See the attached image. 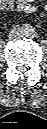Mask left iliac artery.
<instances>
[{
	"label": "left iliac artery",
	"instance_id": "44dca946",
	"mask_svg": "<svg viewBox=\"0 0 47 129\" xmlns=\"http://www.w3.org/2000/svg\"><path fill=\"white\" fill-rule=\"evenodd\" d=\"M33 35H34L35 37L37 36V34H35V33H34Z\"/></svg>",
	"mask_w": 47,
	"mask_h": 129
}]
</instances>
